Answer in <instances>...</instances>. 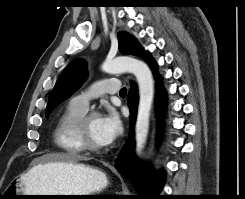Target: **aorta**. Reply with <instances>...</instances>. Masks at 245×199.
Instances as JSON below:
<instances>
[{
    "label": "aorta",
    "instance_id": "obj_1",
    "mask_svg": "<svg viewBox=\"0 0 245 199\" xmlns=\"http://www.w3.org/2000/svg\"><path fill=\"white\" fill-rule=\"evenodd\" d=\"M102 71L109 74L133 73L139 85V106L135 125L136 152H142L148 137L154 97V81L148 65L138 59L122 56L105 60Z\"/></svg>",
    "mask_w": 245,
    "mask_h": 199
}]
</instances>
